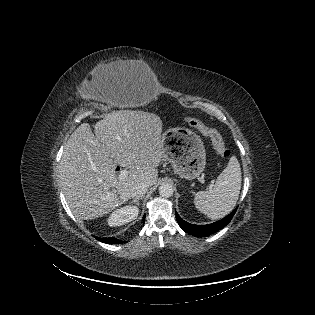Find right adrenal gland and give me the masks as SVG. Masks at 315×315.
Wrapping results in <instances>:
<instances>
[{
  "label": "right adrenal gland",
  "mask_w": 315,
  "mask_h": 315,
  "mask_svg": "<svg viewBox=\"0 0 315 315\" xmlns=\"http://www.w3.org/2000/svg\"><path fill=\"white\" fill-rule=\"evenodd\" d=\"M139 200H142V198H135L131 203H136V205L139 206Z\"/></svg>",
  "instance_id": "1"
}]
</instances>
